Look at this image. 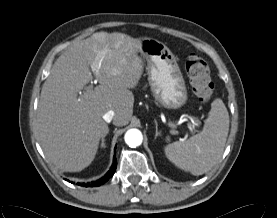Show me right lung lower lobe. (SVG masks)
I'll use <instances>...</instances> for the list:
<instances>
[{"instance_id": "obj_1", "label": "right lung lower lobe", "mask_w": 277, "mask_h": 218, "mask_svg": "<svg viewBox=\"0 0 277 218\" xmlns=\"http://www.w3.org/2000/svg\"><path fill=\"white\" fill-rule=\"evenodd\" d=\"M116 167H117V160H116V158H114L113 165L111 166L110 170L104 175V177L100 178L97 181L91 182V183H87V184L83 183L82 185L86 186V187L102 185L103 183H105L107 180H109L113 176ZM71 183H73V182H71ZM77 184L80 185V183H77Z\"/></svg>"}]
</instances>
